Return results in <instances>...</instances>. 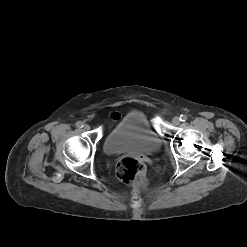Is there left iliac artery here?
Returning <instances> with one entry per match:
<instances>
[{"mask_svg": "<svg viewBox=\"0 0 247 247\" xmlns=\"http://www.w3.org/2000/svg\"><path fill=\"white\" fill-rule=\"evenodd\" d=\"M187 120V116L186 115H180V121L184 122Z\"/></svg>", "mask_w": 247, "mask_h": 247, "instance_id": "44dca946", "label": "left iliac artery"}]
</instances>
